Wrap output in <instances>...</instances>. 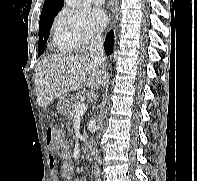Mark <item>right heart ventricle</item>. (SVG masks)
<instances>
[{
	"label": "right heart ventricle",
	"instance_id": "obj_1",
	"mask_svg": "<svg viewBox=\"0 0 197 181\" xmlns=\"http://www.w3.org/2000/svg\"><path fill=\"white\" fill-rule=\"evenodd\" d=\"M52 46L57 52L68 53L72 50L67 39L56 28L54 29Z\"/></svg>",
	"mask_w": 197,
	"mask_h": 181
}]
</instances>
